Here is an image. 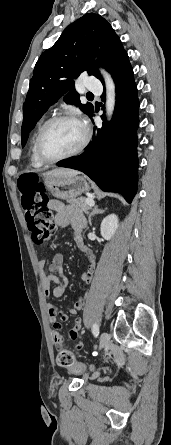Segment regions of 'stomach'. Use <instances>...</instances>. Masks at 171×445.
Segmentation results:
<instances>
[{"mask_svg":"<svg viewBox=\"0 0 171 445\" xmlns=\"http://www.w3.org/2000/svg\"><path fill=\"white\" fill-rule=\"evenodd\" d=\"M44 185L52 196L61 200L75 199L90 190L83 176L44 175Z\"/></svg>","mask_w":171,"mask_h":445,"instance_id":"obj_1","label":"stomach"}]
</instances>
